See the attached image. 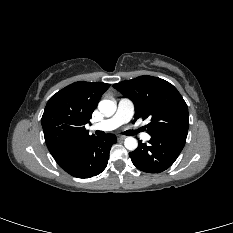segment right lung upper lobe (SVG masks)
I'll list each match as a JSON object with an SVG mask.
<instances>
[{
    "mask_svg": "<svg viewBox=\"0 0 233 233\" xmlns=\"http://www.w3.org/2000/svg\"><path fill=\"white\" fill-rule=\"evenodd\" d=\"M109 86L100 82H75L47 102L41 122L47 147L58 164L95 137L88 134L85 124Z\"/></svg>",
    "mask_w": 233,
    "mask_h": 233,
    "instance_id": "right-lung-upper-lobe-1",
    "label": "right lung upper lobe"
}]
</instances>
